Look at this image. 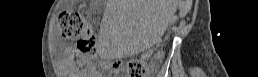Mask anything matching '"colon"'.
<instances>
[{
  "label": "colon",
  "instance_id": "obj_1",
  "mask_svg": "<svg viewBox=\"0 0 258 77\" xmlns=\"http://www.w3.org/2000/svg\"><path fill=\"white\" fill-rule=\"evenodd\" d=\"M60 29L65 38L76 40L77 51L80 54L95 56V35L79 13L66 12L62 14L60 17ZM103 64L114 71H119L122 67V63L117 60L104 62ZM126 67L129 77H146L154 70L155 64L144 59L132 58L128 60Z\"/></svg>",
  "mask_w": 258,
  "mask_h": 77
}]
</instances>
